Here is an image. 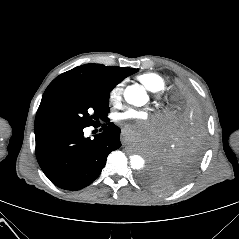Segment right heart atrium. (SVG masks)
<instances>
[{
    "instance_id": "right-heart-atrium-1",
    "label": "right heart atrium",
    "mask_w": 239,
    "mask_h": 239,
    "mask_svg": "<svg viewBox=\"0 0 239 239\" xmlns=\"http://www.w3.org/2000/svg\"><path fill=\"white\" fill-rule=\"evenodd\" d=\"M123 96V85L121 83L116 84L111 88L108 94V100L113 105H118Z\"/></svg>"
}]
</instances>
